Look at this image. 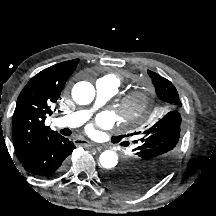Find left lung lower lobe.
Segmentation results:
<instances>
[{"instance_id": "0a47b994", "label": "left lung lower lobe", "mask_w": 216, "mask_h": 216, "mask_svg": "<svg viewBox=\"0 0 216 216\" xmlns=\"http://www.w3.org/2000/svg\"><path fill=\"white\" fill-rule=\"evenodd\" d=\"M124 165V163L122 164V166ZM121 166V167H122ZM110 173H107L105 176H104V178H103V181H104V183L106 184V185H108L107 184V180L110 178ZM109 186V185H108ZM110 187V186H109ZM111 188V187H110ZM122 194V193H121ZM123 195H132V194H123Z\"/></svg>"}]
</instances>
